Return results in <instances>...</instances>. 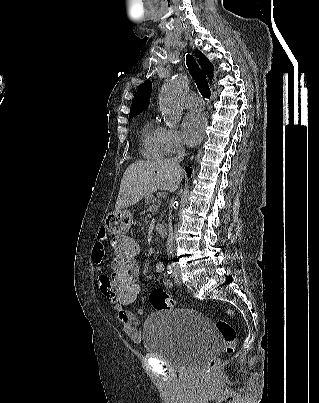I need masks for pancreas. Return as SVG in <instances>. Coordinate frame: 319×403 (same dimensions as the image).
<instances>
[{
  "instance_id": "cf45deb5",
  "label": "pancreas",
  "mask_w": 319,
  "mask_h": 403,
  "mask_svg": "<svg viewBox=\"0 0 319 403\" xmlns=\"http://www.w3.org/2000/svg\"><path fill=\"white\" fill-rule=\"evenodd\" d=\"M156 201H157V198L154 195H149L145 198V204L149 208H151L152 206H155Z\"/></svg>"
}]
</instances>
